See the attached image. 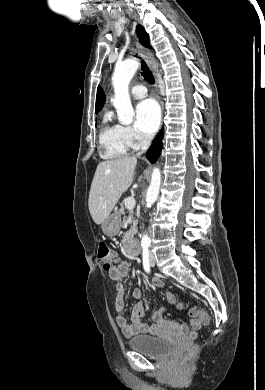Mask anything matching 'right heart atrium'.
<instances>
[{"label":"right heart atrium","mask_w":265,"mask_h":390,"mask_svg":"<svg viewBox=\"0 0 265 390\" xmlns=\"http://www.w3.org/2000/svg\"><path fill=\"white\" fill-rule=\"evenodd\" d=\"M125 138L131 148H138L147 142V137L132 126H123Z\"/></svg>","instance_id":"obj_1"}]
</instances>
